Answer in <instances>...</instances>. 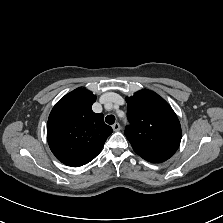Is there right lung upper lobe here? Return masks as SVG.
Masks as SVG:
<instances>
[{"label": "right lung upper lobe", "instance_id": "1", "mask_svg": "<svg viewBox=\"0 0 223 223\" xmlns=\"http://www.w3.org/2000/svg\"><path fill=\"white\" fill-rule=\"evenodd\" d=\"M95 100L92 92L80 87L60 99L49 115L48 144L65 165L79 167L93 160L112 133L104 115L92 111Z\"/></svg>", "mask_w": 223, "mask_h": 223}]
</instances>
